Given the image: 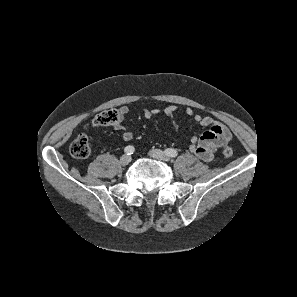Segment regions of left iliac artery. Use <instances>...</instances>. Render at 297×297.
Here are the masks:
<instances>
[{"instance_id": "obj_1", "label": "left iliac artery", "mask_w": 297, "mask_h": 297, "mask_svg": "<svg viewBox=\"0 0 297 297\" xmlns=\"http://www.w3.org/2000/svg\"><path fill=\"white\" fill-rule=\"evenodd\" d=\"M165 153L169 156V157H176L178 155L177 150L172 149V148H168L165 150Z\"/></svg>"}]
</instances>
